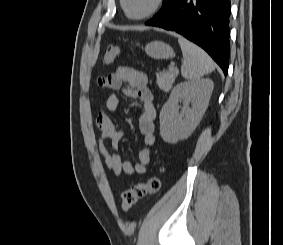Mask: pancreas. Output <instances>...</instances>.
I'll use <instances>...</instances> for the list:
<instances>
[{"mask_svg": "<svg viewBox=\"0 0 283 245\" xmlns=\"http://www.w3.org/2000/svg\"><path fill=\"white\" fill-rule=\"evenodd\" d=\"M177 75L178 72L174 70L160 72L157 74V85L161 90L168 92Z\"/></svg>", "mask_w": 283, "mask_h": 245, "instance_id": "obj_1", "label": "pancreas"}]
</instances>
